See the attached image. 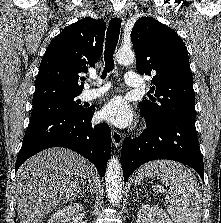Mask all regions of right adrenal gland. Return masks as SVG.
Returning <instances> with one entry per match:
<instances>
[{
  "label": "right adrenal gland",
  "mask_w": 221,
  "mask_h": 223,
  "mask_svg": "<svg viewBox=\"0 0 221 223\" xmlns=\"http://www.w3.org/2000/svg\"><path fill=\"white\" fill-rule=\"evenodd\" d=\"M88 189L90 190L91 193H93L91 178H89L87 185L84 187L83 193H85Z\"/></svg>",
  "instance_id": "1"
}]
</instances>
